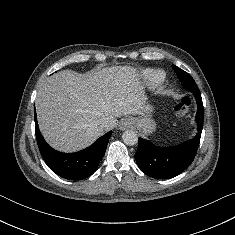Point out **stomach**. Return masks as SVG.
Returning a JSON list of instances; mask_svg holds the SVG:
<instances>
[{"mask_svg":"<svg viewBox=\"0 0 235 235\" xmlns=\"http://www.w3.org/2000/svg\"><path fill=\"white\" fill-rule=\"evenodd\" d=\"M152 112L153 107L145 105L142 114H140L141 116L131 118L135 127L141 130L145 135L152 133L156 128L155 121L152 119Z\"/></svg>","mask_w":235,"mask_h":235,"instance_id":"1","label":"stomach"}]
</instances>
